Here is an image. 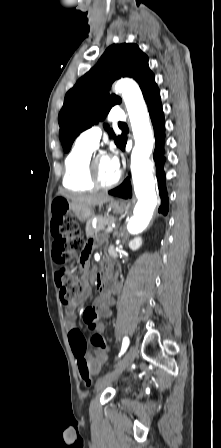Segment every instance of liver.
<instances>
[{"instance_id": "liver-1", "label": "liver", "mask_w": 221, "mask_h": 448, "mask_svg": "<svg viewBox=\"0 0 221 448\" xmlns=\"http://www.w3.org/2000/svg\"><path fill=\"white\" fill-rule=\"evenodd\" d=\"M68 200H71L73 208H91L94 206H102L111 201V197L107 193H96L89 195H69L63 194Z\"/></svg>"}]
</instances>
